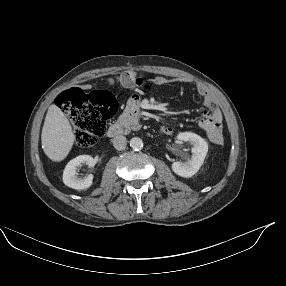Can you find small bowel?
Wrapping results in <instances>:
<instances>
[{"mask_svg": "<svg viewBox=\"0 0 286 286\" xmlns=\"http://www.w3.org/2000/svg\"><path fill=\"white\" fill-rule=\"evenodd\" d=\"M117 83L125 87H133V86H142L146 84V81L139 78L135 72L125 71L122 72L116 79ZM155 85H163L165 84V80L163 78H155L152 81ZM197 93L203 98L206 109L204 113L198 120L199 127L204 131V128L211 123L219 124L222 127V113L220 109L215 105V101L210 92L203 86L197 87ZM142 103L140 97L135 96L130 99L129 105L131 108L136 109ZM161 131L164 134H170L172 132V128L170 126H163Z\"/></svg>", "mask_w": 286, "mask_h": 286, "instance_id": "c3829d8e", "label": "small bowel"}]
</instances>
